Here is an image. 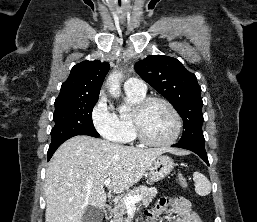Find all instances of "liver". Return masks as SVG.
Returning <instances> with one entry per match:
<instances>
[{"label": "liver", "instance_id": "liver-1", "mask_svg": "<svg viewBox=\"0 0 257 222\" xmlns=\"http://www.w3.org/2000/svg\"><path fill=\"white\" fill-rule=\"evenodd\" d=\"M176 149H139L85 135L65 141L54 153L46 171L45 222H82L88 206L104 207V181L111 179L115 193L137 183L152 162Z\"/></svg>", "mask_w": 257, "mask_h": 222}]
</instances>
